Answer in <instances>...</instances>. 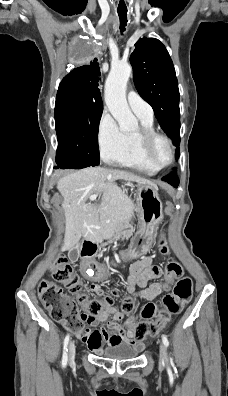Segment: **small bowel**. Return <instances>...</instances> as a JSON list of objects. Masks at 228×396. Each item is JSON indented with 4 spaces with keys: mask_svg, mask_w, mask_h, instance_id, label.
Returning <instances> with one entry per match:
<instances>
[{
    "mask_svg": "<svg viewBox=\"0 0 228 396\" xmlns=\"http://www.w3.org/2000/svg\"><path fill=\"white\" fill-rule=\"evenodd\" d=\"M81 270L85 276L101 277L107 273V268L92 262H84ZM162 273L159 266L152 263L151 256H144L134 261L129 268V275L126 282V291L133 298L142 300H153L168 288L167 282H151L158 279ZM140 288V290H137ZM91 291L96 295H102V289L98 284L91 285ZM112 315L113 320L108 323V328L101 327L96 330L83 329L76 333V336L91 351L99 353L105 344H116L126 342L139 351L144 348L143 340H138L135 335L133 326L123 328L119 320L124 318L125 312L118 311L113 307L107 310L99 317L102 321L106 316Z\"/></svg>",
    "mask_w": 228,
    "mask_h": 396,
    "instance_id": "c3829d8e",
    "label": "small bowel"
}]
</instances>
